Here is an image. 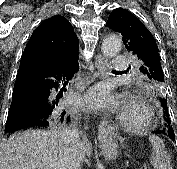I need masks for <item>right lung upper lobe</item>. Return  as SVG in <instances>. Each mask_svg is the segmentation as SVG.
Listing matches in <instances>:
<instances>
[{"instance_id": "right-lung-upper-lobe-1", "label": "right lung upper lobe", "mask_w": 177, "mask_h": 169, "mask_svg": "<svg viewBox=\"0 0 177 169\" xmlns=\"http://www.w3.org/2000/svg\"><path fill=\"white\" fill-rule=\"evenodd\" d=\"M78 50L72 25L63 16H53L33 32L20 65L70 68L78 64Z\"/></svg>"}]
</instances>
